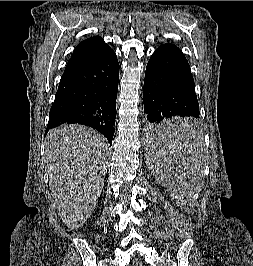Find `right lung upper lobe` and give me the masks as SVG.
<instances>
[{"label":"right lung upper lobe","mask_w":253,"mask_h":266,"mask_svg":"<svg viewBox=\"0 0 253 266\" xmlns=\"http://www.w3.org/2000/svg\"><path fill=\"white\" fill-rule=\"evenodd\" d=\"M109 48L100 36L90 37L78 44L65 69L94 58Z\"/></svg>","instance_id":"obj_1"}]
</instances>
